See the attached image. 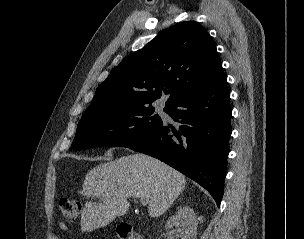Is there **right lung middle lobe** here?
Masks as SVG:
<instances>
[{"label":"right lung middle lobe","mask_w":304,"mask_h":239,"mask_svg":"<svg viewBox=\"0 0 304 239\" xmlns=\"http://www.w3.org/2000/svg\"><path fill=\"white\" fill-rule=\"evenodd\" d=\"M154 107L125 106L81 118L71 150L98 146L129 147L151 134L161 124Z\"/></svg>","instance_id":"right-lung-middle-lobe-1"}]
</instances>
